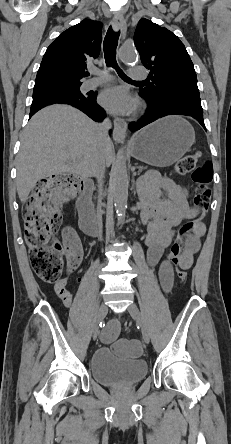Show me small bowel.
I'll use <instances>...</instances> for the list:
<instances>
[{
  "instance_id": "obj_1",
  "label": "small bowel",
  "mask_w": 231,
  "mask_h": 444,
  "mask_svg": "<svg viewBox=\"0 0 231 444\" xmlns=\"http://www.w3.org/2000/svg\"><path fill=\"white\" fill-rule=\"evenodd\" d=\"M140 194L144 202L142 218L145 222L151 220L146 236L148 261L153 266L159 265L158 275L162 289L169 292L174 282V270L170 260L162 259L163 252L173 239L174 228L182 220L195 218L199 211L189 206L187 191L181 184L157 173H151L141 181ZM204 233V225L198 224L194 234L188 239L186 249L180 258V266L186 269L192 266ZM62 235L64 246L82 256V246L76 231L71 227H65ZM66 284L67 280L63 279L56 284L55 289L63 305L69 308L72 304V295L65 289ZM118 332V322H110L102 331V341L112 342Z\"/></svg>"
}]
</instances>
